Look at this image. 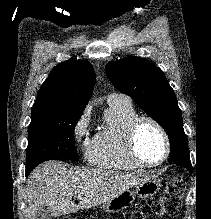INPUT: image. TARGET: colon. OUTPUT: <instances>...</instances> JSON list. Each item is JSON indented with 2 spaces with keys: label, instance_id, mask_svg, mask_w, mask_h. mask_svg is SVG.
Returning <instances> with one entry per match:
<instances>
[{
  "label": "colon",
  "instance_id": "colon-1",
  "mask_svg": "<svg viewBox=\"0 0 211 219\" xmlns=\"http://www.w3.org/2000/svg\"><path fill=\"white\" fill-rule=\"evenodd\" d=\"M184 194V184L181 176L169 180L162 195L143 205L131 219H150L153 217H174L178 214ZM61 219H69L63 217Z\"/></svg>",
  "mask_w": 211,
  "mask_h": 219
}]
</instances>
